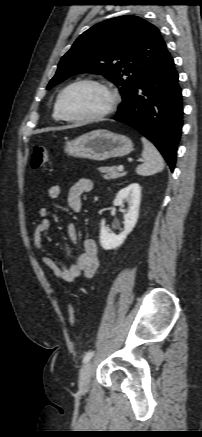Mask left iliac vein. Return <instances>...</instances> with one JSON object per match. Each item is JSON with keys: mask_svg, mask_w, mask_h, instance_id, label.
I'll use <instances>...</instances> for the list:
<instances>
[{"mask_svg": "<svg viewBox=\"0 0 202 437\" xmlns=\"http://www.w3.org/2000/svg\"><path fill=\"white\" fill-rule=\"evenodd\" d=\"M91 372L92 362L88 361L83 365L79 373V387L83 391H87L90 387Z\"/></svg>", "mask_w": 202, "mask_h": 437, "instance_id": "4c4485c4", "label": "left iliac vein"}]
</instances>
